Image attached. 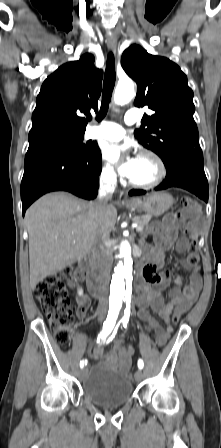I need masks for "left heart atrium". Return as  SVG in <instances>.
Here are the masks:
<instances>
[{
	"label": "left heart atrium",
	"instance_id": "obj_1",
	"mask_svg": "<svg viewBox=\"0 0 221 448\" xmlns=\"http://www.w3.org/2000/svg\"><path fill=\"white\" fill-rule=\"evenodd\" d=\"M104 157L114 163L119 172L130 178L137 171L140 157L132 154L127 144L113 143L105 147Z\"/></svg>",
	"mask_w": 221,
	"mask_h": 448
}]
</instances>
